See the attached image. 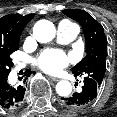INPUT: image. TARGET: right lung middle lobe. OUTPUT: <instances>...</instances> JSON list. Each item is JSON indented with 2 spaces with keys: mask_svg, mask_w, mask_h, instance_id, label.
Listing matches in <instances>:
<instances>
[{
  "mask_svg": "<svg viewBox=\"0 0 117 117\" xmlns=\"http://www.w3.org/2000/svg\"><path fill=\"white\" fill-rule=\"evenodd\" d=\"M14 50H0V77L8 75L11 71V67L13 66L12 59L10 58V54L16 51Z\"/></svg>",
  "mask_w": 117,
  "mask_h": 117,
  "instance_id": "dd1d6c3e",
  "label": "right lung middle lobe"
}]
</instances>
